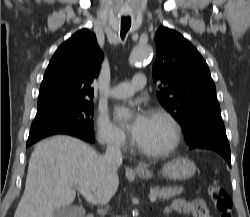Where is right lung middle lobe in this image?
Instances as JSON below:
<instances>
[{
  "label": "right lung middle lobe",
  "instance_id": "1",
  "mask_svg": "<svg viewBox=\"0 0 250 217\" xmlns=\"http://www.w3.org/2000/svg\"><path fill=\"white\" fill-rule=\"evenodd\" d=\"M93 113V103L89 100L37 110L26 146L55 134H67L94 142Z\"/></svg>",
  "mask_w": 250,
  "mask_h": 217
}]
</instances>
